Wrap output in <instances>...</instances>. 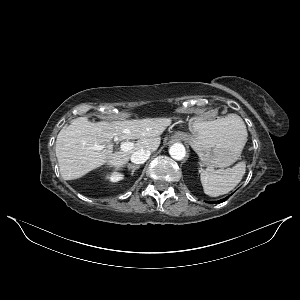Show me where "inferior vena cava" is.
I'll return each mask as SVG.
<instances>
[{
    "instance_id": "1",
    "label": "inferior vena cava",
    "mask_w": 300,
    "mask_h": 300,
    "mask_svg": "<svg viewBox=\"0 0 300 300\" xmlns=\"http://www.w3.org/2000/svg\"><path fill=\"white\" fill-rule=\"evenodd\" d=\"M151 152L150 150L140 149L135 151L130 159L135 164H143L147 161V159L150 157Z\"/></svg>"
}]
</instances>
